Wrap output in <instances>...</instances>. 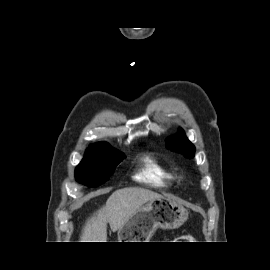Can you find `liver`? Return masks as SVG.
<instances>
[{"label": "liver", "mask_w": 270, "mask_h": 270, "mask_svg": "<svg viewBox=\"0 0 270 270\" xmlns=\"http://www.w3.org/2000/svg\"><path fill=\"white\" fill-rule=\"evenodd\" d=\"M163 197L148 189L128 187L114 191L106 204L87 219L81 242H106L107 223L113 232L123 227L145 203Z\"/></svg>", "instance_id": "1"}]
</instances>
